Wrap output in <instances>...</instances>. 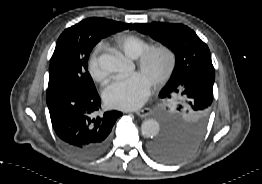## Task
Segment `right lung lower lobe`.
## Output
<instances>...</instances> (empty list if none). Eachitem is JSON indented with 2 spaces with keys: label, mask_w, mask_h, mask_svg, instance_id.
<instances>
[{
  "label": "right lung lower lobe",
  "mask_w": 262,
  "mask_h": 184,
  "mask_svg": "<svg viewBox=\"0 0 262 184\" xmlns=\"http://www.w3.org/2000/svg\"><path fill=\"white\" fill-rule=\"evenodd\" d=\"M52 126L61 143L72 153L92 158L100 155L121 112L95 116L101 101L96 91L73 87H48L46 95Z\"/></svg>",
  "instance_id": "obj_1"
}]
</instances>
